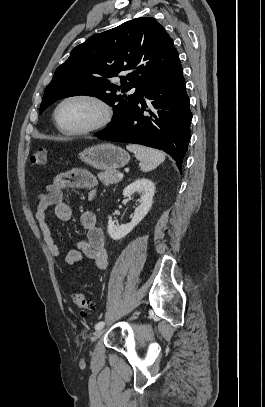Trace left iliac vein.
Returning <instances> with one entry per match:
<instances>
[{
  "label": "left iliac vein",
  "mask_w": 265,
  "mask_h": 407,
  "mask_svg": "<svg viewBox=\"0 0 265 407\" xmlns=\"http://www.w3.org/2000/svg\"><path fill=\"white\" fill-rule=\"evenodd\" d=\"M103 332H104L103 328L96 330L92 336V341L98 340L101 337V335L103 334Z\"/></svg>",
  "instance_id": "obj_1"
}]
</instances>
